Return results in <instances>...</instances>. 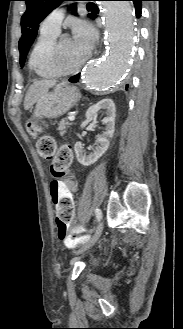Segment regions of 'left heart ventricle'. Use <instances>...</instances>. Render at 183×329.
I'll return each mask as SVG.
<instances>
[{
  "label": "left heart ventricle",
  "instance_id": "left-heart-ventricle-1",
  "mask_svg": "<svg viewBox=\"0 0 183 329\" xmlns=\"http://www.w3.org/2000/svg\"><path fill=\"white\" fill-rule=\"evenodd\" d=\"M61 48L63 55L61 65L63 68H70L81 63L88 55L87 52L77 48L70 38L62 40Z\"/></svg>",
  "mask_w": 183,
  "mask_h": 329
}]
</instances>
